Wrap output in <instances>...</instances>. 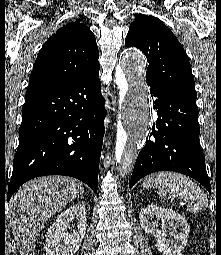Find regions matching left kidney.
<instances>
[{"mask_svg": "<svg viewBox=\"0 0 221 255\" xmlns=\"http://www.w3.org/2000/svg\"><path fill=\"white\" fill-rule=\"evenodd\" d=\"M154 217L162 220V230L157 229L158 223L153 221ZM139 220L146 233L154 234L160 252L164 255H181L190 232L185 217L172 209L151 204L141 209ZM166 236L170 238L166 239Z\"/></svg>", "mask_w": 221, "mask_h": 255, "instance_id": "1", "label": "left kidney"}]
</instances>
